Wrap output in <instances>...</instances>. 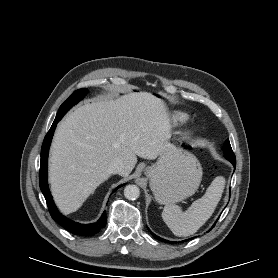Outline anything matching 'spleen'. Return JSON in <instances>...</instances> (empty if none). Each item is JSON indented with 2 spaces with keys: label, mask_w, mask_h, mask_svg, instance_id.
I'll list each match as a JSON object with an SVG mask.
<instances>
[{
  "label": "spleen",
  "mask_w": 278,
  "mask_h": 278,
  "mask_svg": "<svg viewBox=\"0 0 278 278\" xmlns=\"http://www.w3.org/2000/svg\"><path fill=\"white\" fill-rule=\"evenodd\" d=\"M224 185V177H216L205 195L195 200L186 212H182L177 205H166L162 212L163 221L176 236L194 234L212 216L221 199Z\"/></svg>",
  "instance_id": "1"
}]
</instances>
